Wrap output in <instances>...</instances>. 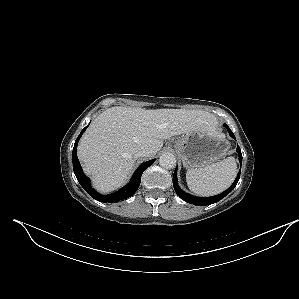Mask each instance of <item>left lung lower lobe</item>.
Wrapping results in <instances>:
<instances>
[{
  "label": "left lung lower lobe",
  "mask_w": 299,
  "mask_h": 299,
  "mask_svg": "<svg viewBox=\"0 0 299 299\" xmlns=\"http://www.w3.org/2000/svg\"><path fill=\"white\" fill-rule=\"evenodd\" d=\"M223 126L228 130L229 135L235 139V136H234L233 132L230 130V128L228 127V125L224 124ZM237 152L239 155V161L242 163L241 149L238 145H237ZM240 172H241V169H240L239 174L236 177L235 181L233 182V184L226 191H224L221 194L211 196V197H195V196L187 194L183 190H181L177 184V168L175 169V172L173 175V186H174L176 194L184 201H186L190 204L197 205V206L210 205V204L220 201L222 198L227 196L235 188V186L237 185L239 178H240Z\"/></svg>",
  "instance_id": "obj_1"
}]
</instances>
